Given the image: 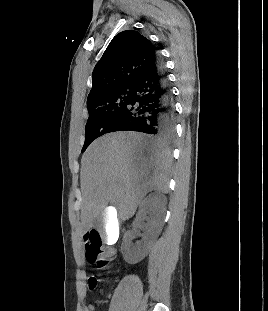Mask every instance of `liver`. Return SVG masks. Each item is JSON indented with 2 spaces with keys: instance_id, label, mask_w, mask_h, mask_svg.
<instances>
[{
  "instance_id": "liver-1",
  "label": "liver",
  "mask_w": 268,
  "mask_h": 311,
  "mask_svg": "<svg viewBox=\"0 0 268 311\" xmlns=\"http://www.w3.org/2000/svg\"><path fill=\"white\" fill-rule=\"evenodd\" d=\"M171 162L167 150L150 146L135 132H114L95 140L81 159V231L105 217L108 204L125 221L148 192L168 193Z\"/></svg>"
}]
</instances>
